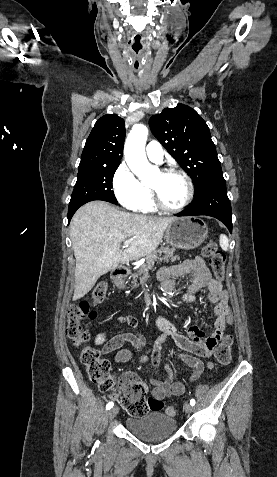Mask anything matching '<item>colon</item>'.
<instances>
[{"instance_id":"5ec220e1","label":"colon","mask_w":277,"mask_h":477,"mask_svg":"<svg viewBox=\"0 0 277 477\" xmlns=\"http://www.w3.org/2000/svg\"><path fill=\"white\" fill-rule=\"evenodd\" d=\"M201 254L206 258L218 280L224 278L225 255L221 252L215 243L208 242L201 249ZM107 294V285L99 283L92 293L79 303L71 307L68 311L67 335L74 342V345L80 350V360L85 366L87 374L91 381L99 386L102 391H112L115 381L110 372V363L102 357L101 353L87 346L88 334L83 330L81 321L85 319H95V308L101 305ZM234 313L227 310L225 323L228 326L234 323ZM233 339L231 335H223L220 344L215 349V358L222 364L227 365L231 360V348ZM147 386L142 381L131 383H122L121 391L117 396L120 405L132 416L141 417L150 411H159L163 408V401L153 397L146 398ZM166 413L169 416H175L177 410L170 406Z\"/></svg>"}]
</instances>
